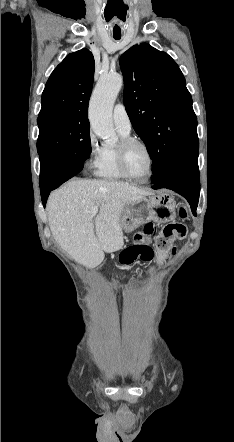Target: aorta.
<instances>
[{"instance_id":"obj_1","label":"aorta","mask_w":234,"mask_h":442,"mask_svg":"<svg viewBox=\"0 0 234 442\" xmlns=\"http://www.w3.org/2000/svg\"><path fill=\"white\" fill-rule=\"evenodd\" d=\"M123 86V77L113 73L103 75L94 91L89 106V121L93 132L108 143L117 140L113 128L112 110L116 97Z\"/></svg>"}]
</instances>
